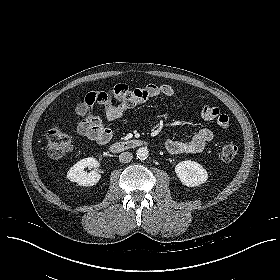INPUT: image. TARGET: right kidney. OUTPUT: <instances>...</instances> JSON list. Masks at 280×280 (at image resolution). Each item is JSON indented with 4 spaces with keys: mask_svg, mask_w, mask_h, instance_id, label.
I'll return each mask as SVG.
<instances>
[{
    "mask_svg": "<svg viewBox=\"0 0 280 280\" xmlns=\"http://www.w3.org/2000/svg\"><path fill=\"white\" fill-rule=\"evenodd\" d=\"M98 161L93 157L84 158L74 164L67 173V178L71 182H76L80 186H93L101 178V175L97 170H93L87 173L84 169L86 167H98Z\"/></svg>",
    "mask_w": 280,
    "mask_h": 280,
    "instance_id": "ca27d5eb",
    "label": "right kidney"
}]
</instances>
